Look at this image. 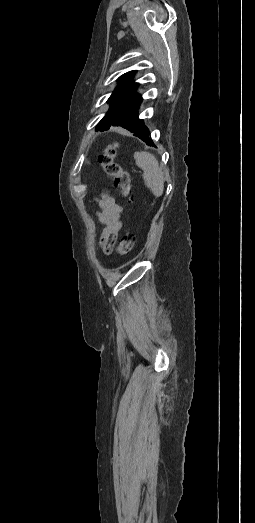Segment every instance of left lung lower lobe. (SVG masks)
I'll return each instance as SVG.
<instances>
[{
	"label": "left lung lower lobe",
	"mask_w": 255,
	"mask_h": 523,
	"mask_svg": "<svg viewBox=\"0 0 255 523\" xmlns=\"http://www.w3.org/2000/svg\"><path fill=\"white\" fill-rule=\"evenodd\" d=\"M151 137H157V134H139L137 140H143V145L150 146L153 145ZM157 148H160V145H157Z\"/></svg>",
	"instance_id": "obj_1"
}]
</instances>
